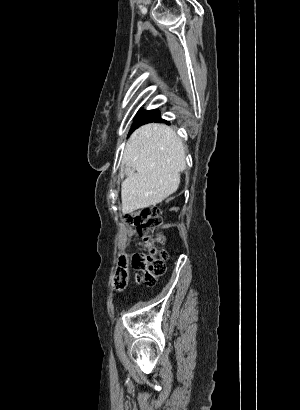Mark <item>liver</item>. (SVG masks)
<instances>
[{
	"instance_id": "6515ba94",
	"label": "liver",
	"mask_w": 300,
	"mask_h": 410,
	"mask_svg": "<svg viewBox=\"0 0 300 410\" xmlns=\"http://www.w3.org/2000/svg\"><path fill=\"white\" fill-rule=\"evenodd\" d=\"M125 171L133 168L121 185L122 212L129 214L161 203L176 192L185 170V148L175 130L151 123L129 138L123 156Z\"/></svg>"
}]
</instances>
